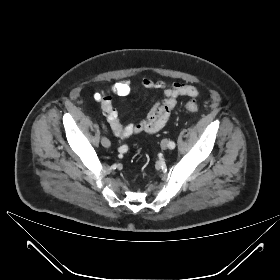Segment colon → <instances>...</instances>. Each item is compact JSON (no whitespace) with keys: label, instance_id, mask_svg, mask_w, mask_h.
Masks as SVG:
<instances>
[{"label":"colon","instance_id":"5ec220e1","mask_svg":"<svg viewBox=\"0 0 280 280\" xmlns=\"http://www.w3.org/2000/svg\"><path fill=\"white\" fill-rule=\"evenodd\" d=\"M186 109L190 112H196L198 111V105L195 102H188L186 103Z\"/></svg>","mask_w":280,"mask_h":280}]
</instances>
